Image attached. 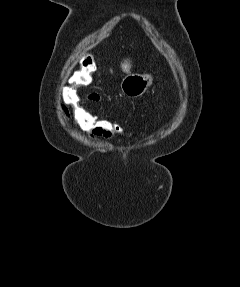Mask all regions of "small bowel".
Masks as SVG:
<instances>
[{"label": "small bowel", "mask_w": 240, "mask_h": 287, "mask_svg": "<svg viewBox=\"0 0 240 287\" xmlns=\"http://www.w3.org/2000/svg\"><path fill=\"white\" fill-rule=\"evenodd\" d=\"M102 100V95L96 92L90 93L88 95H86V101L88 102H100ZM60 111L64 116H67L66 110L63 106V104H60ZM68 117V116H67ZM90 138L93 140H97L98 138L102 137L100 135H96V134H89Z\"/></svg>", "instance_id": "c3829d8e"}]
</instances>
